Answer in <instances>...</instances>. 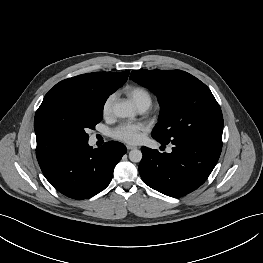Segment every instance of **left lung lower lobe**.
<instances>
[{"instance_id": "1", "label": "left lung lower lobe", "mask_w": 263, "mask_h": 263, "mask_svg": "<svg viewBox=\"0 0 263 263\" xmlns=\"http://www.w3.org/2000/svg\"><path fill=\"white\" fill-rule=\"evenodd\" d=\"M171 143V153L142 147L139 173L152 189L171 197H181L206 181L219 159L222 139H182Z\"/></svg>"}]
</instances>
